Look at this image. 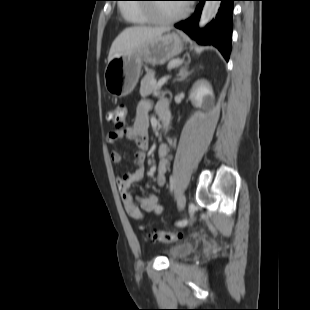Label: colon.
<instances>
[{
	"label": "colon",
	"instance_id": "colon-1",
	"mask_svg": "<svg viewBox=\"0 0 310 310\" xmlns=\"http://www.w3.org/2000/svg\"><path fill=\"white\" fill-rule=\"evenodd\" d=\"M106 119L117 130H125L127 126V107L124 104L116 105L109 109L106 114ZM180 231H150L149 238L153 242L170 243L182 238Z\"/></svg>",
	"mask_w": 310,
	"mask_h": 310
}]
</instances>
